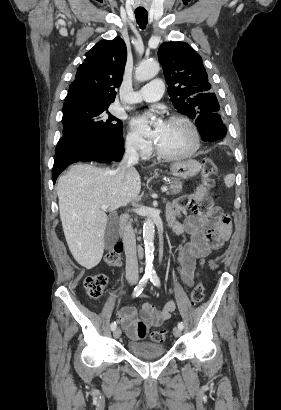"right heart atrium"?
I'll return each instance as SVG.
<instances>
[{"instance_id": "1", "label": "right heart atrium", "mask_w": 281, "mask_h": 410, "mask_svg": "<svg viewBox=\"0 0 281 410\" xmlns=\"http://www.w3.org/2000/svg\"><path fill=\"white\" fill-rule=\"evenodd\" d=\"M125 146L131 152L140 156H147L152 150L151 143L145 139L139 132L130 130L126 136Z\"/></svg>"}]
</instances>
